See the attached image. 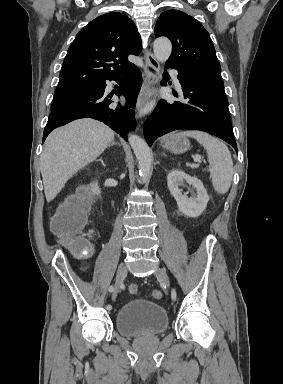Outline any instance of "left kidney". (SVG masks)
<instances>
[{"label": "left kidney", "mask_w": 283, "mask_h": 384, "mask_svg": "<svg viewBox=\"0 0 283 384\" xmlns=\"http://www.w3.org/2000/svg\"><path fill=\"white\" fill-rule=\"evenodd\" d=\"M167 184L182 214L189 216V218H198L204 212L207 202H209V196L198 178H192V176L184 174L181 170H172L167 176ZM185 184L195 188L196 196L193 194L192 198H188L186 194H182L179 186L186 188Z\"/></svg>", "instance_id": "5707ae66"}]
</instances>
